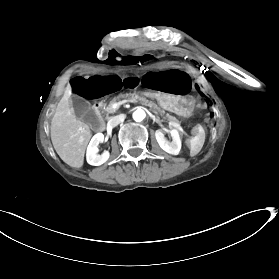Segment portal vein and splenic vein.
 <instances>
[{"mask_svg":"<svg viewBox=\"0 0 279 279\" xmlns=\"http://www.w3.org/2000/svg\"><path fill=\"white\" fill-rule=\"evenodd\" d=\"M126 103H135V100H125V101L120 102L119 104L114 103V104L112 105V108H113L114 110H117L120 106H122V105H124V104H126ZM184 135L187 136V138H190V134H189V133L184 132Z\"/></svg>","mask_w":279,"mask_h":279,"instance_id":"18ae733b","label":"portal vein and splenic vein"}]
</instances>
